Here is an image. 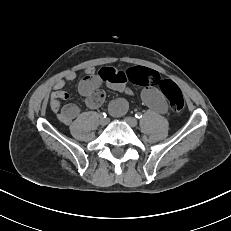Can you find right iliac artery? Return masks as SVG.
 Listing matches in <instances>:
<instances>
[{"instance_id":"obj_1","label":"right iliac artery","mask_w":231,"mask_h":231,"mask_svg":"<svg viewBox=\"0 0 231 231\" xmlns=\"http://www.w3.org/2000/svg\"><path fill=\"white\" fill-rule=\"evenodd\" d=\"M106 116H107L106 113H104V112L101 113V117L106 118Z\"/></svg>"}]
</instances>
